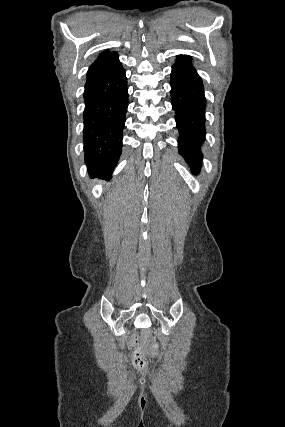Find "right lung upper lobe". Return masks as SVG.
Listing matches in <instances>:
<instances>
[{"label":"right lung upper lobe","instance_id":"1","mask_svg":"<svg viewBox=\"0 0 285 427\" xmlns=\"http://www.w3.org/2000/svg\"><path fill=\"white\" fill-rule=\"evenodd\" d=\"M123 71L117 52L105 51L90 66L87 83Z\"/></svg>","mask_w":285,"mask_h":427}]
</instances>
